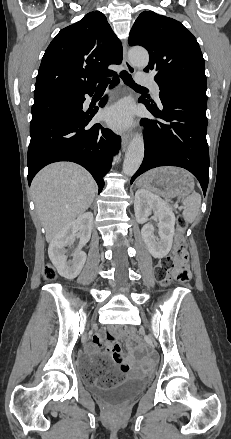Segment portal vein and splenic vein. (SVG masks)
<instances>
[{
  "mask_svg": "<svg viewBox=\"0 0 231 439\" xmlns=\"http://www.w3.org/2000/svg\"><path fill=\"white\" fill-rule=\"evenodd\" d=\"M174 207H175V208H177V207H178V205H177V204H174Z\"/></svg>",
  "mask_w": 231,
  "mask_h": 439,
  "instance_id": "portal-vein-and-splenic-vein-1",
  "label": "portal vein and splenic vein"
}]
</instances>
